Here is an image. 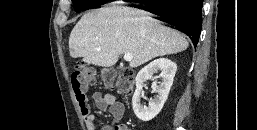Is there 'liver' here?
<instances>
[{
	"mask_svg": "<svg viewBox=\"0 0 257 130\" xmlns=\"http://www.w3.org/2000/svg\"><path fill=\"white\" fill-rule=\"evenodd\" d=\"M188 46L180 32L162 25L148 12L118 6L83 15L69 37L71 57H82L83 62L100 67H111L121 54H131L129 66L136 68Z\"/></svg>",
	"mask_w": 257,
	"mask_h": 130,
	"instance_id": "obj_1",
	"label": "liver"
}]
</instances>
